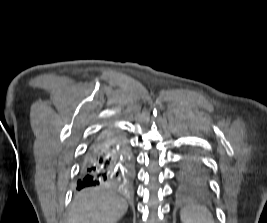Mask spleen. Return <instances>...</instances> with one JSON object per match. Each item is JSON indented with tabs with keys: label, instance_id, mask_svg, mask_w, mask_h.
Returning <instances> with one entry per match:
<instances>
[{
	"label": "spleen",
	"instance_id": "obj_1",
	"mask_svg": "<svg viewBox=\"0 0 267 223\" xmlns=\"http://www.w3.org/2000/svg\"><path fill=\"white\" fill-rule=\"evenodd\" d=\"M182 223H214L211 213L204 207H185L180 212Z\"/></svg>",
	"mask_w": 267,
	"mask_h": 223
}]
</instances>
